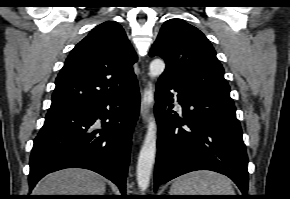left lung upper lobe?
I'll return each instance as SVG.
<instances>
[{"instance_id":"1","label":"left lung upper lobe","mask_w":290,"mask_h":199,"mask_svg":"<svg viewBox=\"0 0 290 199\" xmlns=\"http://www.w3.org/2000/svg\"><path fill=\"white\" fill-rule=\"evenodd\" d=\"M150 56L165 60L166 69L161 76L185 88L233 102L214 48L194 26L179 19L166 21Z\"/></svg>"}]
</instances>
